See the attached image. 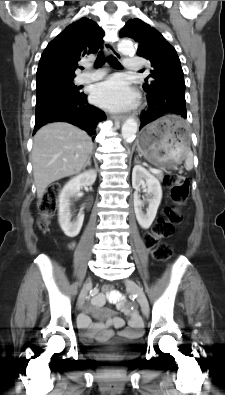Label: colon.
Listing matches in <instances>:
<instances>
[{
    "mask_svg": "<svg viewBox=\"0 0 225 395\" xmlns=\"http://www.w3.org/2000/svg\"><path fill=\"white\" fill-rule=\"evenodd\" d=\"M170 191L172 206L165 209L164 215L152 226L151 231L145 236L146 246L152 250L153 257L158 261H165L172 255V246L162 240L170 237L175 226L182 220L180 207L186 201L189 194V180L182 175H167L164 179ZM60 192V184L50 185L39 201V226L47 228L50 218L54 215L57 206V197ZM105 294L112 292V285H103Z\"/></svg>",
    "mask_w": 225,
    "mask_h": 395,
    "instance_id": "obj_1",
    "label": "colon"
}]
</instances>
